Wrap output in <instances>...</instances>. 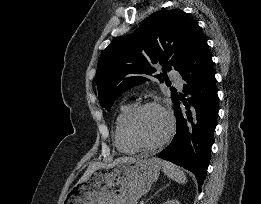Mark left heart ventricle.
<instances>
[{"label":"left heart ventricle","mask_w":261,"mask_h":204,"mask_svg":"<svg viewBox=\"0 0 261 204\" xmlns=\"http://www.w3.org/2000/svg\"><path fill=\"white\" fill-rule=\"evenodd\" d=\"M166 128V118L156 108H147L140 111L130 124L132 136L143 144H152L161 139Z\"/></svg>","instance_id":"obj_1"}]
</instances>
